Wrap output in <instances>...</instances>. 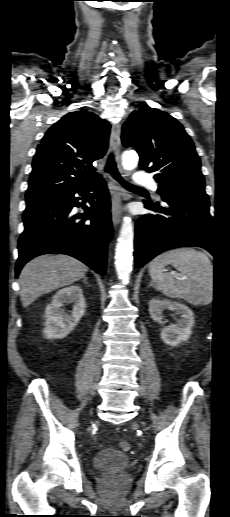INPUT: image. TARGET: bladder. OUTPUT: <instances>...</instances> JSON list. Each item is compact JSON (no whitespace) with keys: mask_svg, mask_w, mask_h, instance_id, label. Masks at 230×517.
Instances as JSON below:
<instances>
[{"mask_svg":"<svg viewBox=\"0 0 230 517\" xmlns=\"http://www.w3.org/2000/svg\"><path fill=\"white\" fill-rule=\"evenodd\" d=\"M132 464V457L113 448L98 451L92 458L93 468L98 470L119 471Z\"/></svg>","mask_w":230,"mask_h":517,"instance_id":"bladder-1","label":"bladder"}]
</instances>
